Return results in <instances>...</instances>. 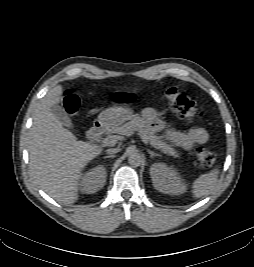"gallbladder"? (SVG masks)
I'll return each instance as SVG.
<instances>
[{
    "instance_id": "obj_1",
    "label": "gallbladder",
    "mask_w": 254,
    "mask_h": 267,
    "mask_svg": "<svg viewBox=\"0 0 254 267\" xmlns=\"http://www.w3.org/2000/svg\"><path fill=\"white\" fill-rule=\"evenodd\" d=\"M51 112L56 116V118L67 128H72V121L69 118L66 111L59 105H53L51 107Z\"/></svg>"
}]
</instances>
